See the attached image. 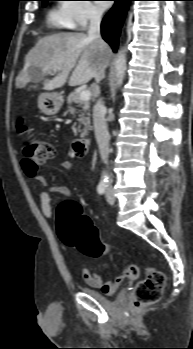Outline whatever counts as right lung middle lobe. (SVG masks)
<instances>
[{"instance_id": "obj_1", "label": "right lung middle lobe", "mask_w": 193, "mask_h": 349, "mask_svg": "<svg viewBox=\"0 0 193 349\" xmlns=\"http://www.w3.org/2000/svg\"><path fill=\"white\" fill-rule=\"evenodd\" d=\"M41 1H43V6H46V3L48 0H41Z\"/></svg>"}]
</instances>
